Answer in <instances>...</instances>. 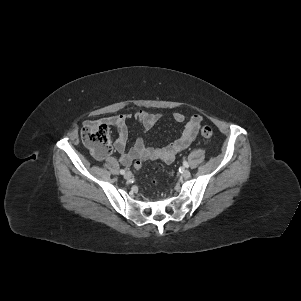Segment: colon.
I'll use <instances>...</instances> for the list:
<instances>
[{"instance_id":"obj_1","label":"colon","mask_w":301,"mask_h":301,"mask_svg":"<svg viewBox=\"0 0 301 301\" xmlns=\"http://www.w3.org/2000/svg\"><path fill=\"white\" fill-rule=\"evenodd\" d=\"M200 133L207 139L213 136L212 128L207 125L200 128ZM81 137L96 158H103L110 154V129L107 123L100 121L86 122L81 130ZM141 166V161L135 162L136 169H140Z\"/></svg>"}]
</instances>
